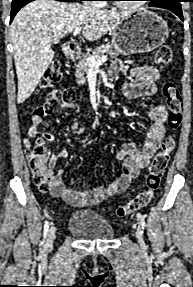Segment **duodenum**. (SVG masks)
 Here are the masks:
<instances>
[{
    "mask_svg": "<svg viewBox=\"0 0 193 287\" xmlns=\"http://www.w3.org/2000/svg\"><path fill=\"white\" fill-rule=\"evenodd\" d=\"M80 52V47L77 43H68L63 48V53L66 59L75 60Z\"/></svg>",
    "mask_w": 193,
    "mask_h": 287,
    "instance_id": "duodenum-1",
    "label": "duodenum"
}]
</instances>
